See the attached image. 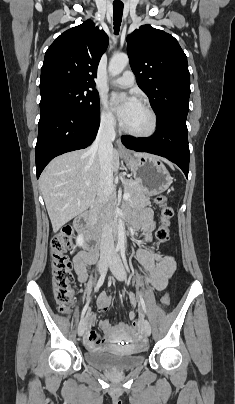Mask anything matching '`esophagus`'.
Wrapping results in <instances>:
<instances>
[{
	"label": "esophagus",
	"mask_w": 235,
	"mask_h": 404,
	"mask_svg": "<svg viewBox=\"0 0 235 404\" xmlns=\"http://www.w3.org/2000/svg\"><path fill=\"white\" fill-rule=\"evenodd\" d=\"M117 145H118V152L120 154L128 155L130 153L129 150L121 143L119 139L117 140Z\"/></svg>",
	"instance_id": "obj_1"
}]
</instances>
